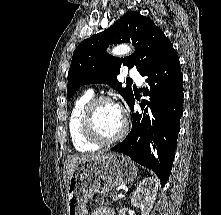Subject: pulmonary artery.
I'll return each instance as SVG.
<instances>
[{"label": "pulmonary artery", "instance_id": "1", "mask_svg": "<svg viewBox=\"0 0 221 215\" xmlns=\"http://www.w3.org/2000/svg\"><path fill=\"white\" fill-rule=\"evenodd\" d=\"M126 75L134 79L139 85L141 84L142 80H141L139 72L136 69L134 68L128 69L126 72ZM89 92L93 93L92 90H90Z\"/></svg>", "mask_w": 221, "mask_h": 215}]
</instances>
